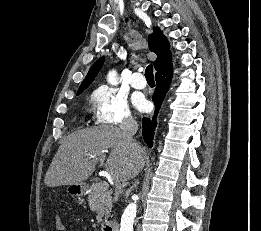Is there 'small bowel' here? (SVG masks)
<instances>
[{
    "label": "small bowel",
    "instance_id": "c3829d8e",
    "mask_svg": "<svg viewBox=\"0 0 261 231\" xmlns=\"http://www.w3.org/2000/svg\"><path fill=\"white\" fill-rule=\"evenodd\" d=\"M55 224L58 231H66V226L60 217L55 219Z\"/></svg>",
    "mask_w": 261,
    "mask_h": 231
}]
</instances>
